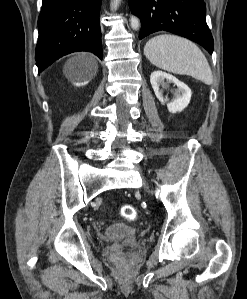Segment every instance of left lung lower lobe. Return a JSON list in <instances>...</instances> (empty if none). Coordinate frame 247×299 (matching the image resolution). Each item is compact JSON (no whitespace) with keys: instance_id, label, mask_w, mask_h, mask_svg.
I'll list each match as a JSON object with an SVG mask.
<instances>
[{"instance_id":"obj_1","label":"left lung lower lobe","mask_w":247,"mask_h":299,"mask_svg":"<svg viewBox=\"0 0 247 299\" xmlns=\"http://www.w3.org/2000/svg\"><path fill=\"white\" fill-rule=\"evenodd\" d=\"M129 6L141 19L140 39L168 31L200 44L212 54L213 37L206 23L203 0H129Z\"/></svg>"}]
</instances>
